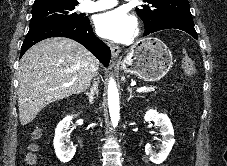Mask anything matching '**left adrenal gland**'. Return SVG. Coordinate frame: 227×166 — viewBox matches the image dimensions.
I'll return each mask as SVG.
<instances>
[{"label": "left adrenal gland", "mask_w": 227, "mask_h": 166, "mask_svg": "<svg viewBox=\"0 0 227 166\" xmlns=\"http://www.w3.org/2000/svg\"><path fill=\"white\" fill-rule=\"evenodd\" d=\"M128 92H129V98H128V102L133 98V97H135L134 95H132V89L129 87L128 88Z\"/></svg>", "instance_id": "a2214340"}]
</instances>
